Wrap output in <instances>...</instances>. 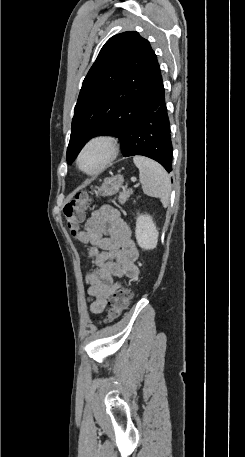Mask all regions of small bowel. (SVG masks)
<instances>
[{"label": "small bowel", "instance_id": "c3829d8e", "mask_svg": "<svg viewBox=\"0 0 245 457\" xmlns=\"http://www.w3.org/2000/svg\"><path fill=\"white\" fill-rule=\"evenodd\" d=\"M77 240L89 247L95 269L88 271L86 283L90 311L100 313L107 306L111 294L118 288L114 278H136L138 250L131 238V230L120 213L110 205L94 211Z\"/></svg>", "mask_w": 245, "mask_h": 457}]
</instances>
